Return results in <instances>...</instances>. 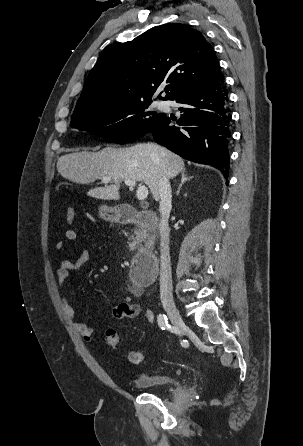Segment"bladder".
I'll return each instance as SVG.
<instances>
[{
    "instance_id": "31cf9c89",
    "label": "bladder",
    "mask_w": 303,
    "mask_h": 446,
    "mask_svg": "<svg viewBox=\"0 0 303 446\" xmlns=\"http://www.w3.org/2000/svg\"><path fill=\"white\" fill-rule=\"evenodd\" d=\"M133 385L140 389H161L169 386H176L179 384L178 377L169 372H145L136 375L133 380Z\"/></svg>"
}]
</instances>
